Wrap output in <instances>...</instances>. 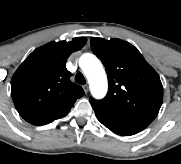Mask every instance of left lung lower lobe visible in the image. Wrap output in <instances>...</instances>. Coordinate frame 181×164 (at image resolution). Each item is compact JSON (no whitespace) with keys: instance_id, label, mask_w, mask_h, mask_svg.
<instances>
[{"instance_id":"0a47b994","label":"left lung lower lobe","mask_w":181,"mask_h":164,"mask_svg":"<svg viewBox=\"0 0 181 164\" xmlns=\"http://www.w3.org/2000/svg\"><path fill=\"white\" fill-rule=\"evenodd\" d=\"M97 119L114 133L130 136L144 130L148 124L117 113L113 110L92 106Z\"/></svg>"}]
</instances>
